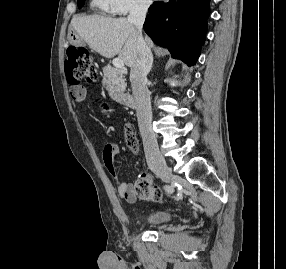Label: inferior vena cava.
<instances>
[{
	"label": "inferior vena cava",
	"mask_w": 286,
	"mask_h": 269,
	"mask_svg": "<svg viewBox=\"0 0 286 269\" xmlns=\"http://www.w3.org/2000/svg\"><path fill=\"white\" fill-rule=\"evenodd\" d=\"M148 7L149 4L145 2L134 4L130 10L128 20L134 24L137 30L139 49V59L136 65L131 68L130 81L135 98L138 126L143 140L146 160L147 162H152L161 160L162 155L151 126L152 111L150 93L147 88V75L153 63V56L142 36V28Z\"/></svg>",
	"instance_id": "obj_1"
}]
</instances>
